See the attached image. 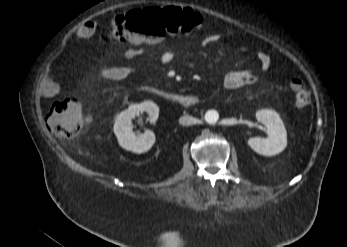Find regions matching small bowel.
<instances>
[{
  "label": "small bowel",
  "mask_w": 347,
  "mask_h": 247,
  "mask_svg": "<svg viewBox=\"0 0 347 247\" xmlns=\"http://www.w3.org/2000/svg\"><path fill=\"white\" fill-rule=\"evenodd\" d=\"M96 30V24L92 20H88L80 25L74 35L76 38L84 40L90 38ZM234 38L235 33L231 30H225L206 36L203 39L204 46H210L219 42L222 38ZM139 42H134V47L125 48L123 55L127 59H136L145 54L144 50L138 46ZM174 59V53L164 51L160 55V61L169 64ZM258 63L263 70H267L271 66V57L266 52L257 54ZM137 67L133 65H104L99 69L100 76L105 80L121 81L133 77L137 72ZM258 82V76L250 70H236L227 73L223 79V84L227 89L234 90L241 87L252 86ZM41 89L45 96H53L59 91V85L55 80V71L53 68L45 69L41 78Z\"/></svg>",
  "instance_id": "small-bowel-1"
}]
</instances>
